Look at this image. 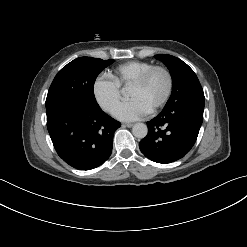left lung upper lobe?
<instances>
[{"label":"left lung upper lobe","mask_w":247,"mask_h":247,"mask_svg":"<svg viewBox=\"0 0 247 247\" xmlns=\"http://www.w3.org/2000/svg\"><path fill=\"white\" fill-rule=\"evenodd\" d=\"M162 61L172 76V94L164 110L189 99H204L203 89L194 71L181 59L168 54L155 55Z\"/></svg>","instance_id":"left-lung-upper-lobe-1"}]
</instances>
